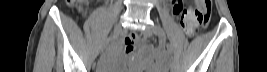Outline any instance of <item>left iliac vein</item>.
Returning <instances> with one entry per match:
<instances>
[{
	"label": "left iliac vein",
	"instance_id": "1",
	"mask_svg": "<svg viewBox=\"0 0 267 72\" xmlns=\"http://www.w3.org/2000/svg\"><path fill=\"white\" fill-rule=\"evenodd\" d=\"M142 33L146 37H151L155 33V26H148L142 30ZM170 70L173 72V66L170 65Z\"/></svg>",
	"mask_w": 267,
	"mask_h": 72
}]
</instances>
